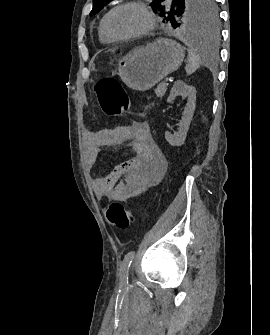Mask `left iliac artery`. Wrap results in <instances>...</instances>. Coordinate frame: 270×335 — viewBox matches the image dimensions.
<instances>
[{
	"mask_svg": "<svg viewBox=\"0 0 270 335\" xmlns=\"http://www.w3.org/2000/svg\"><path fill=\"white\" fill-rule=\"evenodd\" d=\"M135 256V251H130L128 252L124 259L123 262L121 264V268H120V282L122 287L126 288L128 286V273H129V268L130 265L134 259Z\"/></svg>",
	"mask_w": 270,
	"mask_h": 335,
	"instance_id": "left-iliac-artery-1",
	"label": "left iliac artery"
}]
</instances>
